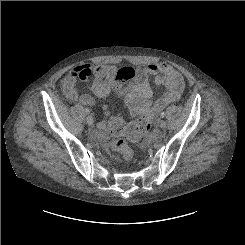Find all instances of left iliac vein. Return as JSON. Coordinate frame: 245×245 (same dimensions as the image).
<instances>
[{"label":"left iliac vein","instance_id":"1","mask_svg":"<svg viewBox=\"0 0 245 245\" xmlns=\"http://www.w3.org/2000/svg\"><path fill=\"white\" fill-rule=\"evenodd\" d=\"M159 126L160 128L165 129L167 127V122L165 120H161L159 122Z\"/></svg>","mask_w":245,"mask_h":245}]
</instances>
